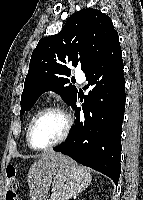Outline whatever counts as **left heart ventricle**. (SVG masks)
<instances>
[{
    "label": "left heart ventricle",
    "instance_id": "b2bd125f",
    "mask_svg": "<svg viewBox=\"0 0 143 200\" xmlns=\"http://www.w3.org/2000/svg\"><path fill=\"white\" fill-rule=\"evenodd\" d=\"M66 126L64 116L59 112L44 115L32 130V142L37 147L47 146L61 137Z\"/></svg>",
    "mask_w": 143,
    "mask_h": 200
}]
</instances>
